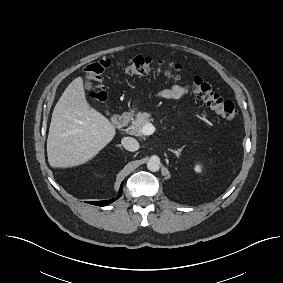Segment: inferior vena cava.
<instances>
[{"label":"inferior vena cava","mask_w":283,"mask_h":283,"mask_svg":"<svg viewBox=\"0 0 283 283\" xmlns=\"http://www.w3.org/2000/svg\"><path fill=\"white\" fill-rule=\"evenodd\" d=\"M121 144L126 150L131 152L137 151L139 149L138 141L132 137H124L121 140Z\"/></svg>","instance_id":"1"}]
</instances>
